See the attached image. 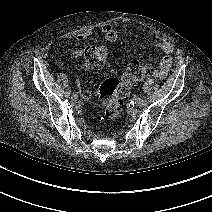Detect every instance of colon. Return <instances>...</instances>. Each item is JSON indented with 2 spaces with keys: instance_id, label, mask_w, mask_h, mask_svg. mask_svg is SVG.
<instances>
[{
  "instance_id": "1",
  "label": "colon",
  "mask_w": 212,
  "mask_h": 212,
  "mask_svg": "<svg viewBox=\"0 0 212 212\" xmlns=\"http://www.w3.org/2000/svg\"><path fill=\"white\" fill-rule=\"evenodd\" d=\"M108 58V50L104 45L88 47L84 52V67H103ZM156 70L144 60H134L129 63L121 76L105 79L99 87V94L103 101V110L110 122H115L120 115L131 88L139 81L152 77Z\"/></svg>"
}]
</instances>
